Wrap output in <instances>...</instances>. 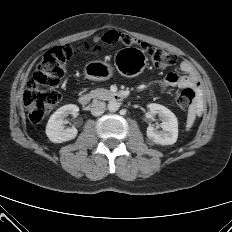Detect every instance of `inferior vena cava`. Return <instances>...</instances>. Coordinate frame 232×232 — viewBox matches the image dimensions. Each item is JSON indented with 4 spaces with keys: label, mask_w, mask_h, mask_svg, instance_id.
<instances>
[{
    "label": "inferior vena cava",
    "mask_w": 232,
    "mask_h": 232,
    "mask_svg": "<svg viewBox=\"0 0 232 232\" xmlns=\"http://www.w3.org/2000/svg\"><path fill=\"white\" fill-rule=\"evenodd\" d=\"M105 109H106L105 102L96 101L91 106V114L93 116H100L104 113Z\"/></svg>",
    "instance_id": "602c4592"
}]
</instances>
